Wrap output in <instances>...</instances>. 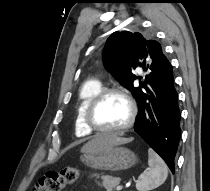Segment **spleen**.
Returning <instances> with one entry per match:
<instances>
[{
	"mask_svg": "<svg viewBox=\"0 0 210 191\" xmlns=\"http://www.w3.org/2000/svg\"><path fill=\"white\" fill-rule=\"evenodd\" d=\"M148 164L150 170L143 172L136 182V189L138 191L153 190L163 184L167 179V166L162 158L152 149L148 150Z\"/></svg>",
	"mask_w": 210,
	"mask_h": 191,
	"instance_id": "3e777b00",
	"label": "spleen"
}]
</instances>
